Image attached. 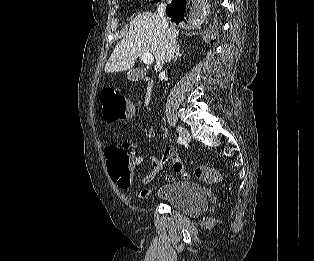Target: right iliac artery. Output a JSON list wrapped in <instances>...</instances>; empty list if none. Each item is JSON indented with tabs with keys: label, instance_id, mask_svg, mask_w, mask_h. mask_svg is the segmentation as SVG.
I'll return each instance as SVG.
<instances>
[{
	"label": "right iliac artery",
	"instance_id": "82829eb1",
	"mask_svg": "<svg viewBox=\"0 0 314 261\" xmlns=\"http://www.w3.org/2000/svg\"><path fill=\"white\" fill-rule=\"evenodd\" d=\"M177 142H178L179 144H183V143H184V140H183L181 137H178V138H177Z\"/></svg>",
	"mask_w": 314,
	"mask_h": 261
}]
</instances>
